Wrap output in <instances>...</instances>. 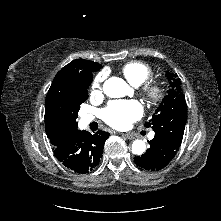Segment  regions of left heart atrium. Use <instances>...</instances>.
Returning <instances> with one entry per match:
<instances>
[{
	"instance_id": "39dd6f15",
	"label": "left heart atrium",
	"mask_w": 221,
	"mask_h": 221,
	"mask_svg": "<svg viewBox=\"0 0 221 221\" xmlns=\"http://www.w3.org/2000/svg\"><path fill=\"white\" fill-rule=\"evenodd\" d=\"M142 106L137 101H115L102 112L103 120L113 128L125 129L140 119Z\"/></svg>"
}]
</instances>
